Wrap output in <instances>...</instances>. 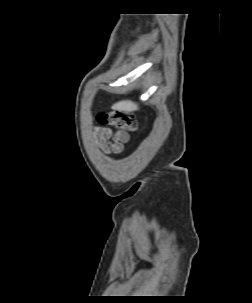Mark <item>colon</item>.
Returning <instances> with one entry per match:
<instances>
[{
    "label": "colon",
    "instance_id": "5ec220e1",
    "mask_svg": "<svg viewBox=\"0 0 252 303\" xmlns=\"http://www.w3.org/2000/svg\"><path fill=\"white\" fill-rule=\"evenodd\" d=\"M97 122L100 125H109L129 132L137 130L135 116L131 112L125 110H111L109 112L99 113Z\"/></svg>",
    "mask_w": 252,
    "mask_h": 303
}]
</instances>
